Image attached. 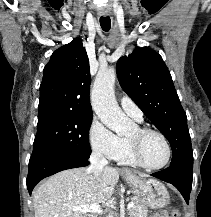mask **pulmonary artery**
Segmentation results:
<instances>
[{"instance_id": "obj_1", "label": "pulmonary artery", "mask_w": 211, "mask_h": 217, "mask_svg": "<svg viewBox=\"0 0 211 217\" xmlns=\"http://www.w3.org/2000/svg\"><path fill=\"white\" fill-rule=\"evenodd\" d=\"M120 106L123 111L137 121L143 120V113L137 104L127 95L120 98Z\"/></svg>"}]
</instances>
